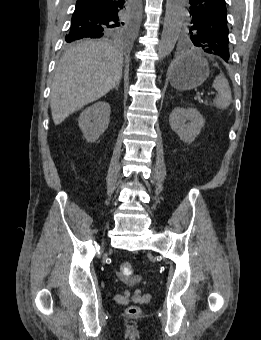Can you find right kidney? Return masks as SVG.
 Wrapping results in <instances>:
<instances>
[{
	"mask_svg": "<svg viewBox=\"0 0 261 340\" xmlns=\"http://www.w3.org/2000/svg\"><path fill=\"white\" fill-rule=\"evenodd\" d=\"M111 108L100 101L86 108L79 116V128L88 142H95L108 128Z\"/></svg>",
	"mask_w": 261,
	"mask_h": 340,
	"instance_id": "1",
	"label": "right kidney"
}]
</instances>
